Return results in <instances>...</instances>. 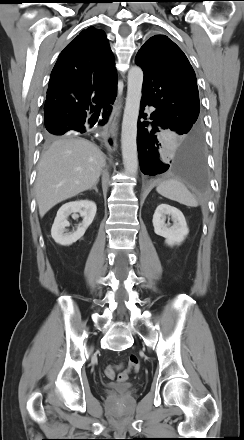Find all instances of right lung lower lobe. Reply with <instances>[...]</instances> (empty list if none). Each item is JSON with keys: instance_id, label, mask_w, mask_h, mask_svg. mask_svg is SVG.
Masks as SVG:
<instances>
[{"instance_id": "right-lung-lower-lobe-1", "label": "right lung lower lobe", "mask_w": 244, "mask_h": 440, "mask_svg": "<svg viewBox=\"0 0 244 440\" xmlns=\"http://www.w3.org/2000/svg\"><path fill=\"white\" fill-rule=\"evenodd\" d=\"M115 97L116 95L111 98L107 103L113 104ZM109 110H111V105H109ZM99 113L100 111H97L89 120L91 126H94V124L97 122ZM85 122L86 116H75L72 118L58 119L57 121L49 125H45V127L47 130L53 132L54 135H63L71 131L84 133L87 130Z\"/></svg>"}]
</instances>
